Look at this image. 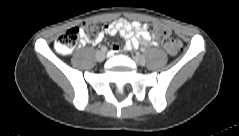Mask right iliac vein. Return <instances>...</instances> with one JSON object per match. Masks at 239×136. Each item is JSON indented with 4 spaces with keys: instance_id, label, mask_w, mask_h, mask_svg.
I'll use <instances>...</instances> for the list:
<instances>
[{
    "instance_id": "obj_1",
    "label": "right iliac vein",
    "mask_w": 239,
    "mask_h": 136,
    "mask_svg": "<svg viewBox=\"0 0 239 136\" xmlns=\"http://www.w3.org/2000/svg\"><path fill=\"white\" fill-rule=\"evenodd\" d=\"M105 57H106V53L102 50L96 53V58L99 62L104 61Z\"/></svg>"
}]
</instances>
